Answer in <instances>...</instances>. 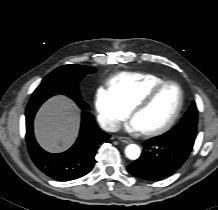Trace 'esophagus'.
Returning <instances> with one entry per match:
<instances>
[{"mask_svg":"<svg viewBox=\"0 0 218 210\" xmlns=\"http://www.w3.org/2000/svg\"><path fill=\"white\" fill-rule=\"evenodd\" d=\"M118 140L123 142V143H131L132 142V140L130 138L124 137V136L118 137Z\"/></svg>","mask_w":218,"mask_h":210,"instance_id":"esophagus-1","label":"esophagus"}]
</instances>
